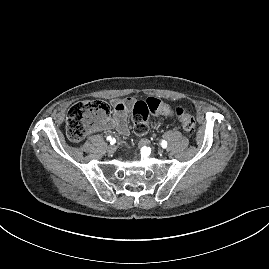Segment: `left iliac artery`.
Masks as SVG:
<instances>
[{
  "instance_id": "obj_1",
  "label": "left iliac artery",
  "mask_w": 269,
  "mask_h": 269,
  "mask_svg": "<svg viewBox=\"0 0 269 269\" xmlns=\"http://www.w3.org/2000/svg\"><path fill=\"white\" fill-rule=\"evenodd\" d=\"M160 145L162 146V148H167L168 143H167V141H165V140H161V141H160Z\"/></svg>"
}]
</instances>
